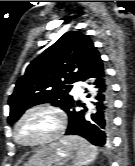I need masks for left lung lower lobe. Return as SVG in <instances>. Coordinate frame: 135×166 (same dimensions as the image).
Listing matches in <instances>:
<instances>
[{"instance_id":"left-lung-lower-lobe-1","label":"left lung lower lobe","mask_w":135,"mask_h":166,"mask_svg":"<svg viewBox=\"0 0 135 166\" xmlns=\"http://www.w3.org/2000/svg\"><path fill=\"white\" fill-rule=\"evenodd\" d=\"M88 78H95L97 96V110L91 115V120H87L84 110L75 111V106L80 103L75 102L66 111L69 116V125L65 135H79L87 139L93 145L103 147L110 142L113 127V101L110 83L104 71L103 63L99 53L93 57L92 61L83 73L80 81ZM87 97H90L89 95ZM84 105V104H83Z\"/></svg>"}]
</instances>
